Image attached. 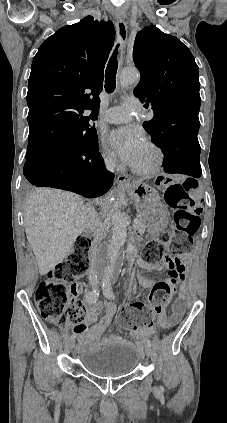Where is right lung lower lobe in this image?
<instances>
[{
  "label": "right lung lower lobe",
  "mask_w": 227,
  "mask_h": 423,
  "mask_svg": "<svg viewBox=\"0 0 227 423\" xmlns=\"http://www.w3.org/2000/svg\"><path fill=\"white\" fill-rule=\"evenodd\" d=\"M63 149H48L27 159L23 173L28 181L35 186L59 188L87 198L101 196L111 188L114 175L106 171L98 144L76 153H66Z\"/></svg>",
  "instance_id": "1"
}]
</instances>
